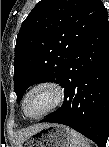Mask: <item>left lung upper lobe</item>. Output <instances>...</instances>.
Returning a JSON list of instances; mask_svg holds the SVG:
<instances>
[{"label":"left lung upper lobe","instance_id":"1","mask_svg":"<svg viewBox=\"0 0 109 147\" xmlns=\"http://www.w3.org/2000/svg\"><path fill=\"white\" fill-rule=\"evenodd\" d=\"M105 12L101 0H41L33 8L15 46L18 101L34 83L62 81L71 55Z\"/></svg>","mask_w":109,"mask_h":147}]
</instances>
